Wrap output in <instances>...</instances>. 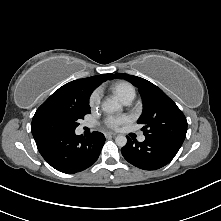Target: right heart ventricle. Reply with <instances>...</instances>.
Masks as SVG:
<instances>
[{
  "mask_svg": "<svg viewBox=\"0 0 221 221\" xmlns=\"http://www.w3.org/2000/svg\"><path fill=\"white\" fill-rule=\"evenodd\" d=\"M110 89L122 102L133 100L136 95L134 86L124 80L114 82Z\"/></svg>",
  "mask_w": 221,
  "mask_h": 221,
  "instance_id": "right-heart-ventricle-1",
  "label": "right heart ventricle"
}]
</instances>
